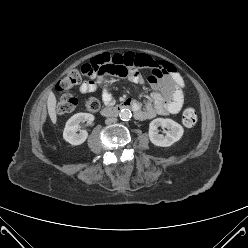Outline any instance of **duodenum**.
Wrapping results in <instances>:
<instances>
[{"instance_id": "410a0bca", "label": "duodenum", "mask_w": 248, "mask_h": 248, "mask_svg": "<svg viewBox=\"0 0 248 248\" xmlns=\"http://www.w3.org/2000/svg\"><path fill=\"white\" fill-rule=\"evenodd\" d=\"M130 109L134 114H138L140 109L136 101L127 100L118 106H107L100 111V115L104 117L117 116L122 110Z\"/></svg>"}]
</instances>
